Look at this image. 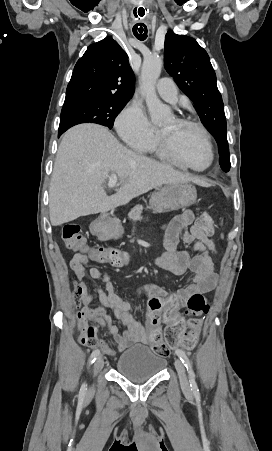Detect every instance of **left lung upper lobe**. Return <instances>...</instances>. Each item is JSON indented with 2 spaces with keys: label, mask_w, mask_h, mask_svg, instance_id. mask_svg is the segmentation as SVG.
<instances>
[{
  "label": "left lung upper lobe",
  "mask_w": 272,
  "mask_h": 451,
  "mask_svg": "<svg viewBox=\"0 0 272 451\" xmlns=\"http://www.w3.org/2000/svg\"><path fill=\"white\" fill-rule=\"evenodd\" d=\"M164 66L180 89L193 101L202 123L219 145L220 165L230 169L226 118L216 74L207 52L194 38L169 31L165 37Z\"/></svg>",
  "instance_id": "left-lung-upper-lobe-1"
}]
</instances>
